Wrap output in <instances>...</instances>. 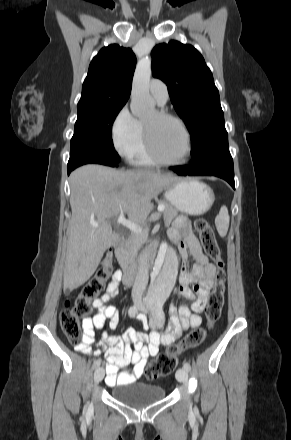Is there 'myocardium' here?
Here are the masks:
<instances>
[{
	"label": "myocardium",
	"mask_w": 291,
	"mask_h": 440,
	"mask_svg": "<svg viewBox=\"0 0 291 440\" xmlns=\"http://www.w3.org/2000/svg\"><path fill=\"white\" fill-rule=\"evenodd\" d=\"M156 113L159 117H161L163 119H170V120L176 122L181 127V129L183 130L185 137H186L187 152H186L185 157L181 161L172 162V161L165 160L160 155V153L157 151V149L153 143L149 128L142 122L144 140H145L146 148H147L150 156L158 164H161L163 166L178 167V166H182V165L186 164L188 162V160L190 159V157L192 155V151H193L192 137H191V133H190L188 127L186 126L185 122L180 117H178L172 113H169V112L162 110V109L156 110Z\"/></svg>",
	"instance_id": "f54148a6"
}]
</instances>
